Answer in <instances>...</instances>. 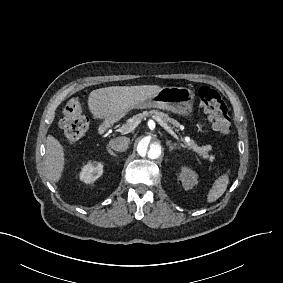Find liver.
I'll use <instances>...</instances> for the list:
<instances>
[{
    "label": "liver",
    "instance_id": "obj_1",
    "mask_svg": "<svg viewBox=\"0 0 283 283\" xmlns=\"http://www.w3.org/2000/svg\"><path fill=\"white\" fill-rule=\"evenodd\" d=\"M157 85L111 86L93 90L88 106L94 118H118L132 106L152 97L159 91ZM45 172L52 182L59 181L64 167L63 146L53 136L46 140Z\"/></svg>",
    "mask_w": 283,
    "mask_h": 283
}]
</instances>
